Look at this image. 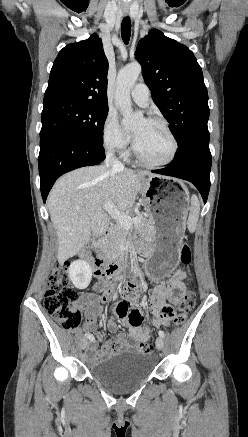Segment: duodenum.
Instances as JSON below:
<instances>
[{"label": "duodenum", "mask_w": 248, "mask_h": 437, "mask_svg": "<svg viewBox=\"0 0 248 437\" xmlns=\"http://www.w3.org/2000/svg\"><path fill=\"white\" fill-rule=\"evenodd\" d=\"M111 228L110 226H107L104 230V235L109 234ZM86 258L95 264L96 266L99 265L100 261L103 259V252H102V240H98L95 242L89 251L86 254ZM124 261L119 260H107L101 268H97L95 274L97 276H105V275H112L120 270V268L123 266Z\"/></svg>", "instance_id": "1"}]
</instances>
